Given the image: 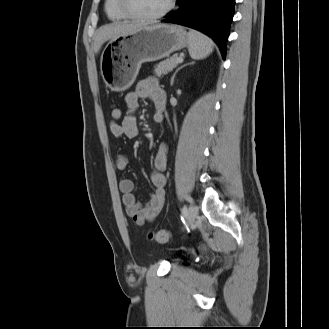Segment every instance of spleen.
Wrapping results in <instances>:
<instances>
[{
  "instance_id": "3e777b00",
  "label": "spleen",
  "mask_w": 329,
  "mask_h": 329,
  "mask_svg": "<svg viewBox=\"0 0 329 329\" xmlns=\"http://www.w3.org/2000/svg\"><path fill=\"white\" fill-rule=\"evenodd\" d=\"M188 51L193 59L200 60L212 53L213 43L202 33L190 30L188 32Z\"/></svg>"
}]
</instances>
